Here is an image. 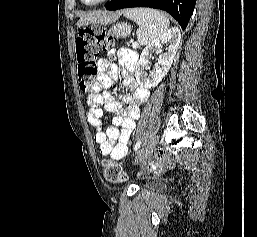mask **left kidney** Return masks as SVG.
<instances>
[{"instance_id":"left-kidney-1","label":"left kidney","mask_w":257,"mask_h":237,"mask_svg":"<svg viewBox=\"0 0 257 237\" xmlns=\"http://www.w3.org/2000/svg\"><path fill=\"white\" fill-rule=\"evenodd\" d=\"M180 41V30L174 27L144 48L135 71V77L140 86L151 89L162 81L173 63ZM164 44H167L166 52L159 55L154 69L147 74L145 70H147L150 64L149 60L152 53H161Z\"/></svg>"}]
</instances>
